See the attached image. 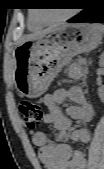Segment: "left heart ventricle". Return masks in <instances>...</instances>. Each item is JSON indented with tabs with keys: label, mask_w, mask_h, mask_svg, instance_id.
<instances>
[{
	"label": "left heart ventricle",
	"mask_w": 104,
	"mask_h": 169,
	"mask_svg": "<svg viewBox=\"0 0 104 169\" xmlns=\"http://www.w3.org/2000/svg\"><path fill=\"white\" fill-rule=\"evenodd\" d=\"M66 11L64 10H44L41 11V17L46 20H56L62 17Z\"/></svg>",
	"instance_id": "obj_1"
}]
</instances>
